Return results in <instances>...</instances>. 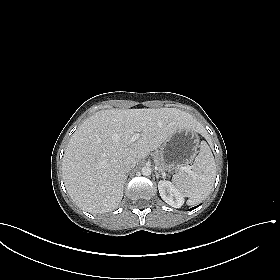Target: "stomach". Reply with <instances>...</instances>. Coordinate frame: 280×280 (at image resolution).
Masks as SVG:
<instances>
[{
	"label": "stomach",
	"mask_w": 280,
	"mask_h": 280,
	"mask_svg": "<svg viewBox=\"0 0 280 280\" xmlns=\"http://www.w3.org/2000/svg\"><path fill=\"white\" fill-rule=\"evenodd\" d=\"M199 147V136L192 128H182L160 147L158 159L162 171L178 170L192 163Z\"/></svg>",
	"instance_id": "0dacf381"
}]
</instances>
